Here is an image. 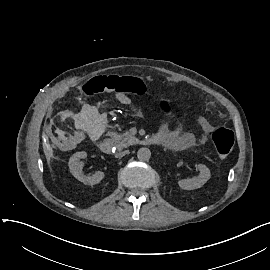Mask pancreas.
I'll use <instances>...</instances> for the list:
<instances>
[{"instance_id": "pancreas-1", "label": "pancreas", "mask_w": 270, "mask_h": 270, "mask_svg": "<svg viewBox=\"0 0 270 270\" xmlns=\"http://www.w3.org/2000/svg\"><path fill=\"white\" fill-rule=\"evenodd\" d=\"M111 137L115 139V146L121 150L131 145V142H136V139L131 135L129 131L122 133L121 135L111 134Z\"/></svg>"}]
</instances>
